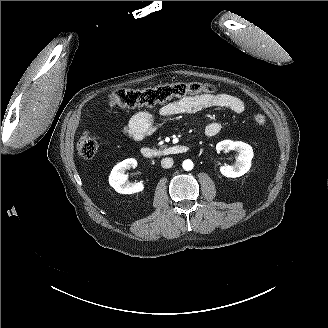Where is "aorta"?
Wrapping results in <instances>:
<instances>
[{"label": "aorta", "instance_id": "1", "mask_svg": "<svg viewBox=\"0 0 328 328\" xmlns=\"http://www.w3.org/2000/svg\"><path fill=\"white\" fill-rule=\"evenodd\" d=\"M182 167L186 171H190L193 169V162L190 159H186L182 163Z\"/></svg>", "mask_w": 328, "mask_h": 328}]
</instances>
